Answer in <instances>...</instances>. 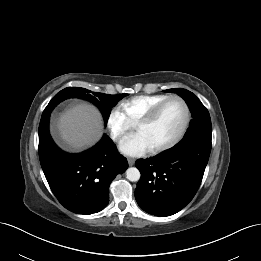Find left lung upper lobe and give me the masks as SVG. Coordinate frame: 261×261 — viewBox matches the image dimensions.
Returning a JSON list of instances; mask_svg holds the SVG:
<instances>
[{
	"mask_svg": "<svg viewBox=\"0 0 261 261\" xmlns=\"http://www.w3.org/2000/svg\"><path fill=\"white\" fill-rule=\"evenodd\" d=\"M165 92H172L181 96L191 111L192 120L183 139L195 136L212 137V125L209 112L195 94L182 88L168 89L165 90Z\"/></svg>",
	"mask_w": 261,
	"mask_h": 261,
	"instance_id": "1",
	"label": "left lung upper lobe"
}]
</instances>
